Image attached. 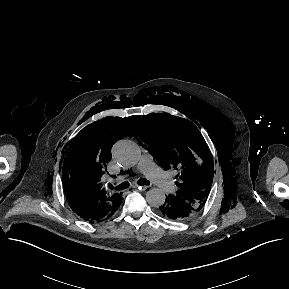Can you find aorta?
<instances>
[{
	"mask_svg": "<svg viewBox=\"0 0 289 289\" xmlns=\"http://www.w3.org/2000/svg\"><path fill=\"white\" fill-rule=\"evenodd\" d=\"M112 156L123 167L135 165L140 157L139 146L131 140H120L112 148ZM165 193L159 188H152L146 193V201L152 207H160L165 203Z\"/></svg>",
	"mask_w": 289,
	"mask_h": 289,
	"instance_id": "762f6f07",
	"label": "aorta"
}]
</instances>
